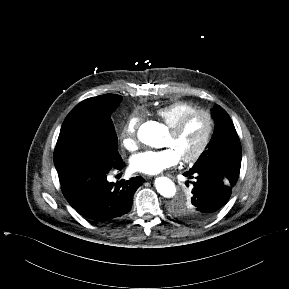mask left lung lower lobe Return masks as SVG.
<instances>
[{"label":"left lung lower lobe","instance_id":"left-lung-lower-lobe-1","mask_svg":"<svg viewBox=\"0 0 289 289\" xmlns=\"http://www.w3.org/2000/svg\"><path fill=\"white\" fill-rule=\"evenodd\" d=\"M240 170L226 168H206L189 170L183 175L194 178L189 203L198 222L213 217L231 196Z\"/></svg>","mask_w":289,"mask_h":289}]
</instances>
